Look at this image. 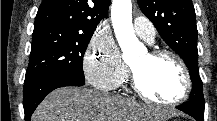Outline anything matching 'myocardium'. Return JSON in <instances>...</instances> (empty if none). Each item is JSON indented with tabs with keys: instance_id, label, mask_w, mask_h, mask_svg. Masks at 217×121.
<instances>
[{
	"instance_id": "myocardium-1",
	"label": "myocardium",
	"mask_w": 217,
	"mask_h": 121,
	"mask_svg": "<svg viewBox=\"0 0 217 121\" xmlns=\"http://www.w3.org/2000/svg\"><path fill=\"white\" fill-rule=\"evenodd\" d=\"M149 57L152 59H159V58H170L172 61L176 64V66L179 68L181 74H182V79H183V88L181 93L174 99L170 101H160L152 96H150L142 87L139 78L135 71L130 67V79H131V85L134 90V92L143 100L156 104V105H161V106H177L184 102L190 95L191 89H192V80L190 77L189 70L183 61V59L174 53L173 51L170 50H165V49H158V50H153L148 53Z\"/></svg>"
}]
</instances>
